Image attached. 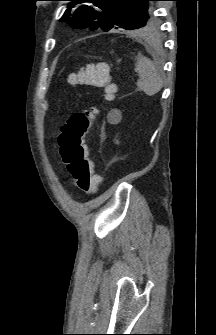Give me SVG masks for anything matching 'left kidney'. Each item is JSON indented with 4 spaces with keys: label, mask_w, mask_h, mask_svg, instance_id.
I'll list each match as a JSON object with an SVG mask.
<instances>
[{
    "label": "left kidney",
    "mask_w": 216,
    "mask_h": 335,
    "mask_svg": "<svg viewBox=\"0 0 216 335\" xmlns=\"http://www.w3.org/2000/svg\"><path fill=\"white\" fill-rule=\"evenodd\" d=\"M115 143H116V144H119V141H118L117 139H115Z\"/></svg>",
    "instance_id": "5707ae66"
}]
</instances>
